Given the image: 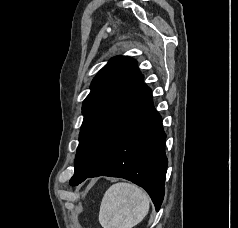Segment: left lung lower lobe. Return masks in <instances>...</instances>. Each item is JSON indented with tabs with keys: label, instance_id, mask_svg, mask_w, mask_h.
<instances>
[{
	"label": "left lung lower lobe",
	"instance_id": "left-lung-lower-lobe-1",
	"mask_svg": "<svg viewBox=\"0 0 238 228\" xmlns=\"http://www.w3.org/2000/svg\"><path fill=\"white\" fill-rule=\"evenodd\" d=\"M166 135L148 88L142 101L118 132L104 159L88 174L75 175L70 185L97 176L121 177L144 188L158 211L167 170Z\"/></svg>",
	"mask_w": 238,
	"mask_h": 228
}]
</instances>
